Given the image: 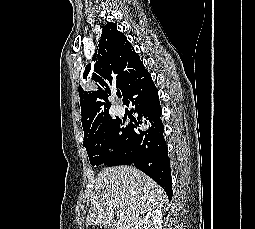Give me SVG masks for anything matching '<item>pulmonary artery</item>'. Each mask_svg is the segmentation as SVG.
Returning a JSON list of instances; mask_svg holds the SVG:
<instances>
[{
	"label": "pulmonary artery",
	"mask_w": 255,
	"mask_h": 229,
	"mask_svg": "<svg viewBox=\"0 0 255 229\" xmlns=\"http://www.w3.org/2000/svg\"><path fill=\"white\" fill-rule=\"evenodd\" d=\"M116 112L118 114H122L123 113V109L121 107H116Z\"/></svg>",
	"instance_id": "obj_1"
}]
</instances>
